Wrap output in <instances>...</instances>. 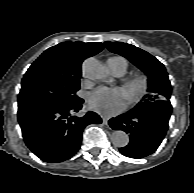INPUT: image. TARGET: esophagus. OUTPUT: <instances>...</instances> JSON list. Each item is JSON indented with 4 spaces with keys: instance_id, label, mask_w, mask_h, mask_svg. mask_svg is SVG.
<instances>
[{
    "instance_id": "obj_1",
    "label": "esophagus",
    "mask_w": 194,
    "mask_h": 193,
    "mask_svg": "<svg viewBox=\"0 0 194 193\" xmlns=\"http://www.w3.org/2000/svg\"><path fill=\"white\" fill-rule=\"evenodd\" d=\"M108 120H109L108 117H106V116H103V117H102V121H103V123H104L105 125H108Z\"/></svg>"
}]
</instances>
